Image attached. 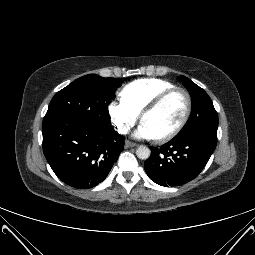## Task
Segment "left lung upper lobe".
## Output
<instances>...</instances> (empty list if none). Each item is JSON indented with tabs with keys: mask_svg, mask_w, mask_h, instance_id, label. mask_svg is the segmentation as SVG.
Masks as SVG:
<instances>
[{
	"mask_svg": "<svg viewBox=\"0 0 255 255\" xmlns=\"http://www.w3.org/2000/svg\"><path fill=\"white\" fill-rule=\"evenodd\" d=\"M192 99V113L183 130L175 137L208 135L217 137L218 115L207 93L185 76L180 77Z\"/></svg>",
	"mask_w": 255,
	"mask_h": 255,
	"instance_id": "obj_1",
	"label": "left lung upper lobe"
}]
</instances>
